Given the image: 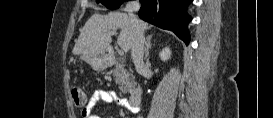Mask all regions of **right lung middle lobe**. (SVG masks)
Returning a JSON list of instances; mask_svg holds the SVG:
<instances>
[{
    "mask_svg": "<svg viewBox=\"0 0 273 118\" xmlns=\"http://www.w3.org/2000/svg\"><path fill=\"white\" fill-rule=\"evenodd\" d=\"M97 3L104 4L108 9H117L126 0H96Z\"/></svg>",
    "mask_w": 273,
    "mask_h": 118,
    "instance_id": "1",
    "label": "right lung middle lobe"
}]
</instances>
